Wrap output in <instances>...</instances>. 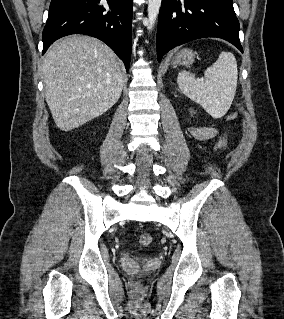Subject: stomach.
<instances>
[{"label":"stomach","mask_w":284,"mask_h":319,"mask_svg":"<svg viewBox=\"0 0 284 319\" xmlns=\"http://www.w3.org/2000/svg\"><path fill=\"white\" fill-rule=\"evenodd\" d=\"M195 52L190 49H182L175 55L172 60V64L188 66L194 62Z\"/></svg>","instance_id":"obj_1"}]
</instances>
